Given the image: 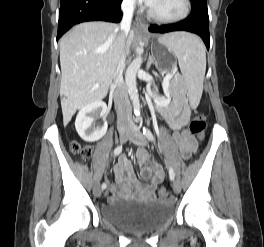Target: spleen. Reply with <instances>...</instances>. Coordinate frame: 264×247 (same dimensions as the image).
<instances>
[{
  "instance_id": "obj_1",
  "label": "spleen",
  "mask_w": 264,
  "mask_h": 247,
  "mask_svg": "<svg viewBox=\"0 0 264 247\" xmlns=\"http://www.w3.org/2000/svg\"><path fill=\"white\" fill-rule=\"evenodd\" d=\"M177 57L190 98L199 102L206 71V52L201 40L191 33H173L164 40Z\"/></svg>"
}]
</instances>
